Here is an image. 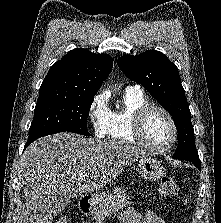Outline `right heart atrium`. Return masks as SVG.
I'll return each instance as SVG.
<instances>
[{
	"instance_id": "obj_1",
	"label": "right heart atrium",
	"mask_w": 221,
	"mask_h": 223,
	"mask_svg": "<svg viewBox=\"0 0 221 223\" xmlns=\"http://www.w3.org/2000/svg\"><path fill=\"white\" fill-rule=\"evenodd\" d=\"M110 110L106 103V95L99 93L93 97L88 108V119L95 137L107 135Z\"/></svg>"
}]
</instances>
